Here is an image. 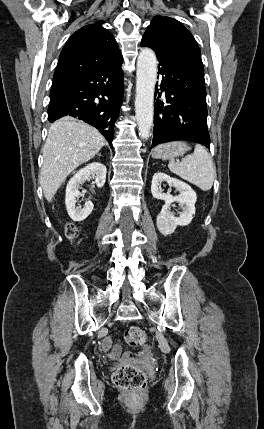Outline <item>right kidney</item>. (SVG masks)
<instances>
[{
  "label": "right kidney",
  "mask_w": 264,
  "mask_h": 429,
  "mask_svg": "<svg viewBox=\"0 0 264 429\" xmlns=\"http://www.w3.org/2000/svg\"><path fill=\"white\" fill-rule=\"evenodd\" d=\"M106 166L94 162L79 170L68 182L66 187L65 204L68 215L74 221L80 222L85 220L93 210V203L87 201L83 208L76 206L77 198L80 195L79 186L87 180L95 179V184L98 188L104 186L106 181Z\"/></svg>",
  "instance_id": "right-kidney-1"
}]
</instances>
